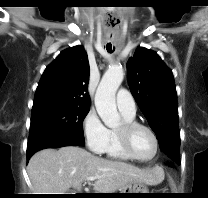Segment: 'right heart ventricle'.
Wrapping results in <instances>:
<instances>
[{"instance_id": "right-heart-ventricle-1", "label": "right heart ventricle", "mask_w": 208, "mask_h": 198, "mask_svg": "<svg viewBox=\"0 0 208 198\" xmlns=\"http://www.w3.org/2000/svg\"><path fill=\"white\" fill-rule=\"evenodd\" d=\"M124 121H133L134 116L122 113ZM105 155L113 160L131 161L130 158L122 149L116 135V130H109L108 142L104 151Z\"/></svg>"}]
</instances>
